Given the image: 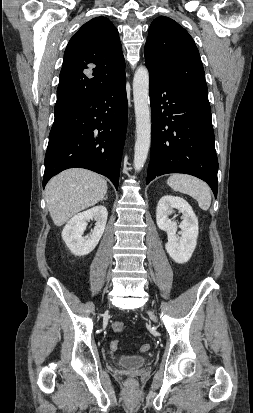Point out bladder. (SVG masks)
<instances>
[{"mask_svg":"<svg viewBox=\"0 0 253 413\" xmlns=\"http://www.w3.org/2000/svg\"><path fill=\"white\" fill-rule=\"evenodd\" d=\"M147 360L143 355H124L118 358V363L124 367L137 368L145 365Z\"/></svg>","mask_w":253,"mask_h":413,"instance_id":"31cf9c89","label":"bladder"}]
</instances>
